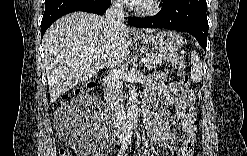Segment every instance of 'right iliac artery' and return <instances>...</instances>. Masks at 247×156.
<instances>
[{
    "label": "right iliac artery",
    "mask_w": 247,
    "mask_h": 156,
    "mask_svg": "<svg viewBox=\"0 0 247 156\" xmlns=\"http://www.w3.org/2000/svg\"><path fill=\"white\" fill-rule=\"evenodd\" d=\"M131 134H132V132H131V127H129V128H128V135H127V137H126V142H124V144L121 146V149H120V151H119V153H118V156H123V155H124L125 150L127 149L128 144H129L130 141H131Z\"/></svg>",
    "instance_id": "82829eb1"
}]
</instances>
